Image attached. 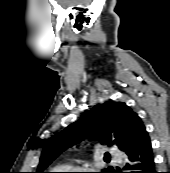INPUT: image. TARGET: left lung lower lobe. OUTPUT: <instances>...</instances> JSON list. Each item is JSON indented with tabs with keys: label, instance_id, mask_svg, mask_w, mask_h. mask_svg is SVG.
<instances>
[{
	"label": "left lung lower lobe",
	"instance_id": "left-lung-lower-lobe-1",
	"mask_svg": "<svg viewBox=\"0 0 170 173\" xmlns=\"http://www.w3.org/2000/svg\"><path fill=\"white\" fill-rule=\"evenodd\" d=\"M128 162L124 169L128 173H156L154 154L151 142L145 143L137 149L127 152ZM113 173H120L118 170Z\"/></svg>",
	"mask_w": 170,
	"mask_h": 173
}]
</instances>
